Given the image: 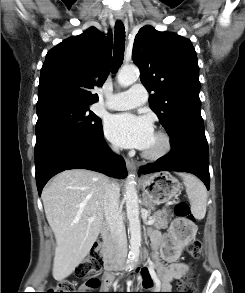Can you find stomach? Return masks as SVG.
Segmentation results:
<instances>
[{
    "mask_svg": "<svg viewBox=\"0 0 245 293\" xmlns=\"http://www.w3.org/2000/svg\"><path fill=\"white\" fill-rule=\"evenodd\" d=\"M141 185L149 201L154 205L164 204L178 196L181 185L176 178L168 172H158L141 179ZM165 213V211L163 212ZM166 214V213H165ZM196 230L192 226L190 234L177 238V244L189 242Z\"/></svg>",
    "mask_w": 245,
    "mask_h": 293,
    "instance_id": "0dacf381",
    "label": "stomach"
}]
</instances>
